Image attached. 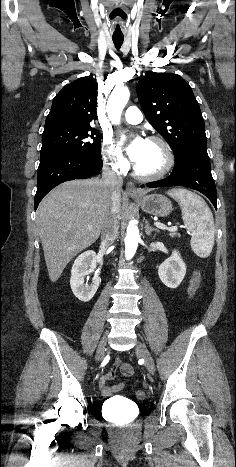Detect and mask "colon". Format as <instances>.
<instances>
[{"mask_svg": "<svg viewBox=\"0 0 236 467\" xmlns=\"http://www.w3.org/2000/svg\"><path fill=\"white\" fill-rule=\"evenodd\" d=\"M200 279H201V271L197 269L194 271L192 278H191V282H190V293L191 294H193L198 288ZM135 395L138 399L144 398V393L142 391H137Z\"/></svg>", "mask_w": 236, "mask_h": 467, "instance_id": "colon-1", "label": "colon"}]
</instances>
